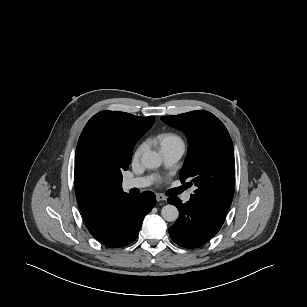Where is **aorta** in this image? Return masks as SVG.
<instances>
[{"instance_id": "aorta-1", "label": "aorta", "mask_w": 307, "mask_h": 307, "mask_svg": "<svg viewBox=\"0 0 307 307\" xmlns=\"http://www.w3.org/2000/svg\"><path fill=\"white\" fill-rule=\"evenodd\" d=\"M142 165L147 169H156L162 163V158L156 151L147 150L141 157ZM161 215L164 220L174 222L179 216V211L174 205H166L161 210Z\"/></svg>"}]
</instances>
